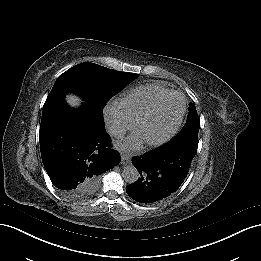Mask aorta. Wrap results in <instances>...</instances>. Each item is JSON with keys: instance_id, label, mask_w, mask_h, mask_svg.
Returning a JSON list of instances; mask_svg holds the SVG:
<instances>
[{"instance_id": "762f6f07", "label": "aorta", "mask_w": 261, "mask_h": 261, "mask_svg": "<svg viewBox=\"0 0 261 261\" xmlns=\"http://www.w3.org/2000/svg\"><path fill=\"white\" fill-rule=\"evenodd\" d=\"M122 177L126 183L133 184L139 179L140 173L134 165L128 164L123 167Z\"/></svg>"}]
</instances>
